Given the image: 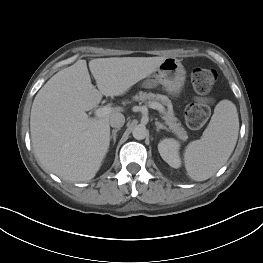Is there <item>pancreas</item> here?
Masks as SVG:
<instances>
[{
    "instance_id": "pancreas-1",
    "label": "pancreas",
    "mask_w": 263,
    "mask_h": 263,
    "mask_svg": "<svg viewBox=\"0 0 263 263\" xmlns=\"http://www.w3.org/2000/svg\"><path fill=\"white\" fill-rule=\"evenodd\" d=\"M134 100L141 102H154V103H163L170 105V100L167 96L161 94L147 93L140 91L138 95L134 96ZM163 119L165 123L169 126V129L181 140L186 141L188 139L187 132L184 128L181 127V124L178 122V119L175 117L172 110L165 111L163 109Z\"/></svg>"
}]
</instances>
